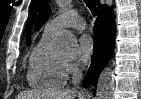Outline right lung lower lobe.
I'll return each mask as SVG.
<instances>
[{
    "label": "right lung lower lobe",
    "instance_id": "1",
    "mask_svg": "<svg viewBox=\"0 0 141 99\" xmlns=\"http://www.w3.org/2000/svg\"><path fill=\"white\" fill-rule=\"evenodd\" d=\"M115 39V20L112 10L103 5L94 25V53L90 71L87 73L84 86L96 83L99 74L111 57ZM95 94V92H94Z\"/></svg>",
    "mask_w": 141,
    "mask_h": 99
}]
</instances>
